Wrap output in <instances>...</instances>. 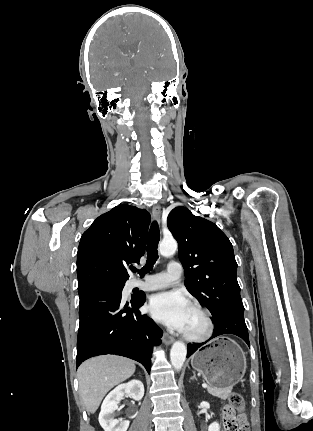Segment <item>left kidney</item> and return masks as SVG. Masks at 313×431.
Here are the masks:
<instances>
[{
	"label": "left kidney",
	"instance_id": "1",
	"mask_svg": "<svg viewBox=\"0 0 313 431\" xmlns=\"http://www.w3.org/2000/svg\"><path fill=\"white\" fill-rule=\"evenodd\" d=\"M208 431H220V426L218 422H213L209 425Z\"/></svg>",
	"mask_w": 313,
	"mask_h": 431
}]
</instances>
